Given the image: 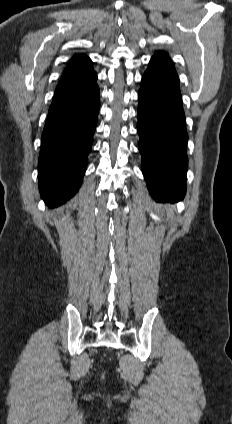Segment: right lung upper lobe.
<instances>
[{
    "label": "right lung upper lobe",
    "instance_id": "cb5924a9",
    "mask_svg": "<svg viewBox=\"0 0 232 424\" xmlns=\"http://www.w3.org/2000/svg\"><path fill=\"white\" fill-rule=\"evenodd\" d=\"M89 73H94L92 61L84 54L75 55L67 64L59 84L72 77Z\"/></svg>",
    "mask_w": 232,
    "mask_h": 424
}]
</instances>
